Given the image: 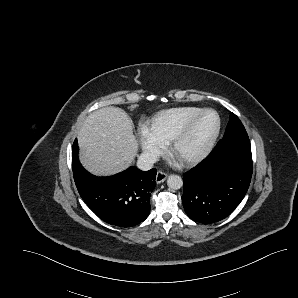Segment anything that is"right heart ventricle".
I'll return each mask as SVG.
<instances>
[{
	"label": "right heart ventricle",
	"instance_id": "e07e8e85",
	"mask_svg": "<svg viewBox=\"0 0 298 298\" xmlns=\"http://www.w3.org/2000/svg\"><path fill=\"white\" fill-rule=\"evenodd\" d=\"M203 109L194 106L175 107L162 110L156 113L151 123L153 127L160 129L165 138L170 136L173 131L179 127L184 121L196 115Z\"/></svg>",
	"mask_w": 298,
	"mask_h": 298
}]
</instances>
